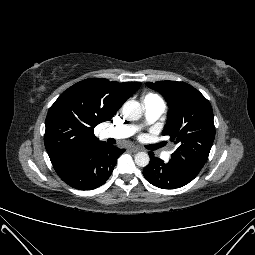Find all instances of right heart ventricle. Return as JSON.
I'll list each match as a JSON object with an SVG mask.
<instances>
[{
    "label": "right heart ventricle",
    "mask_w": 255,
    "mask_h": 255,
    "mask_svg": "<svg viewBox=\"0 0 255 255\" xmlns=\"http://www.w3.org/2000/svg\"><path fill=\"white\" fill-rule=\"evenodd\" d=\"M159 98L157 95L153 94V93H148L143 97V102H149L153 99Z\"/></svg>",
    "instance_id": "e07e8e85"
}]
</instances>
